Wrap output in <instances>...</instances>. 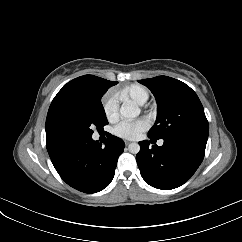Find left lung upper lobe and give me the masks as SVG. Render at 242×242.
Instances as JSON below:
<instances>
[{"label": "left lung upper lobe", "instance_id": "1", "mask_svg": "<svg viewBox=\"0 0 242 242\" xmlns=\"http://www.w3.org/2000/svg\"><path fill=\"white\" fill-rule=\"evenodd\" d=\"M157 102V119L148 136L173 139L183 136L208 138L209 124L196 93L185 83L167 76L138 80Z\"/></svg>", "mask_w": 242, "mask_h": 242}]
</instances>
